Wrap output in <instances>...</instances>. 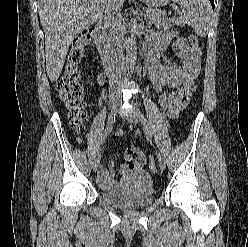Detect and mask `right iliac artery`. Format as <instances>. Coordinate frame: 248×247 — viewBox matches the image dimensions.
<instances>
[{"mask_svg":"<svg viewBox=\"0 0 248 247\" xmlns=\"http://www.w3.org/2000/svg\"><path fill=\"white\" fill-rule=\"evenodd\" d=\"M114 121H115V111L111 112L108 116L107 125H106L105 131L102 135V141H101L102 145L105 143L109 133L111 132L112 125H113Z\"/></svg>","mask_w":248,"mask_h":247,"instance_id":"obj_1","label":"right iliac artery"}]
</instances>
